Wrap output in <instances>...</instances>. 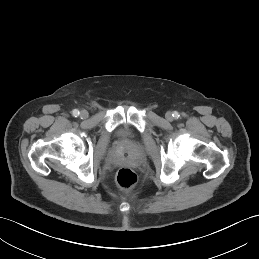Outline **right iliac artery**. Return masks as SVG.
Returning <instances> with one entry per match:
<instances>
[{"label": "right iliac artery", "mask_w": 259, "mask_h": 259, "mask_svg": "<svg viewBox=\"0 0 259 259\" xmlns=\"http://www.w3.org/2000/svg\"><path fill=\"white\" fill-rule=\"evenodd\" d=\"M72 115H73L74 117L79 116V111H78L77 109H74V110L72 111Z\"/></svg>", "instance_id": "right-iliac-artery-1"}]
</instances>
